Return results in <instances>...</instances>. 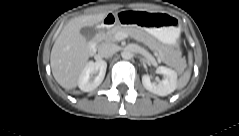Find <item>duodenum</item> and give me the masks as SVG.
Listing matches in <instances>:
<instances>
[{
	"instance_id": "1",
	"label": "duodenum",
	"mask_w": 239,
	"mask_h": 136,
	"mask_svg": "<svg viewBox=\"0 0 239 136\" xmlns=\"http://www.w3.org/2000/svg\"><path fill=\"white\" fill-rule=\"evenodd\" d=\"M115 22H117V16L115 15H109L105 21H104V24L106 25H110V24H114ZM96 48H97V42L94 41L92 42L90 45H89V51L90 53H94L96 51Z\"/></svg>"
}]
</instances>
